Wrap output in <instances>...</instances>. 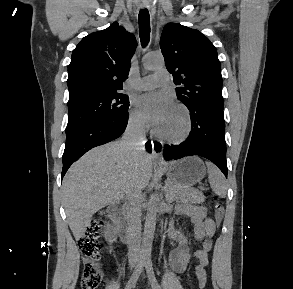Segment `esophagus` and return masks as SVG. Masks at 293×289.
<instances>
[{"mask_svg":"<svg viewBox=\"0 0 293 289\" xmlns=\"http://www.w3.org/2000/svg\"><path fill=\"white\" fill-rule=\"evenodd\" d=\"M163 144L160 142H152V157L156 161H163Z\"/></svg>","mask_w":293,"mask_h":289,"instance_id":"34e87169","label":"esophagus"}]
</instances>
